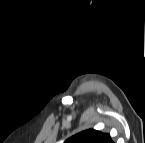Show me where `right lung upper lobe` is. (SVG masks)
Here are the masks:
<instances>
[{"instance_id":"cb5924a9","label":"right lung upper lobe","mask_w":145,"mask_h":143,"mask_svg":"<svg viewBox=\"0 0 145 143\" xmlns=\"http://www.w3.org/2000/svg\"><path fill=\"white\" fill-rule=\"evenodd\" d=\"M65 143H112V141L108 134L90 129L72 136Z\"/></svg>"}]
</instances>
